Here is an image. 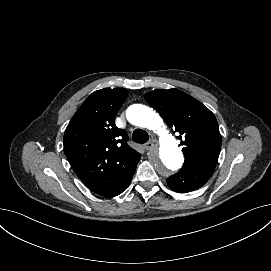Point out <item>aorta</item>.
<instances>
[{
	"instance_id": "762f6f07",
	"label": "aorta",
	"mask_w": 271,
	"mask_h": 271,
	"mask_svg": "<svg viewBox=\"0 0 271 271\" xmlns=\"http://www.w3.org/2000/svg\"><path fill=\"white\" fill-rule=\"evenodd\" d=\"M128 121L136 126L146 127L161 135L160 146L150 154V161L154 168L162 175H170L178 170L184 161L182 151L174 138L165 129L163 119L152 108L135 104L126 111Z\"/></svg>"
}]
</instances>
